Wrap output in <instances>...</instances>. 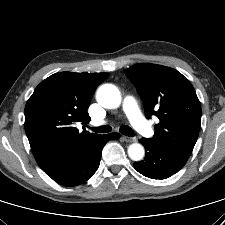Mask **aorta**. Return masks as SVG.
I'll use <instances>...</instances> for the list:
<instances>
[{
    "label": "aorta",
    "mask_w": 225,
    "mask_h": 225,
    "mask_svg": "<svg viewBox=\"0 0 225 225\" xmlns=\"http://www.w3.org/2000/svg\"><path fill=\"white\" fill-rule=\"evenodd\" d=\"M97 102L104 108L115 109L121 104V93L112 84H104L96 93ZM144 147L139 143H133L128 148V155L133 161H140L144 157Z\"/></svg>",
    "instance_id": "1"
}]
</instances>
